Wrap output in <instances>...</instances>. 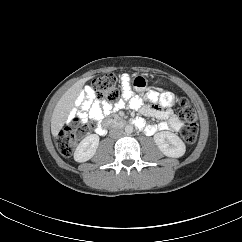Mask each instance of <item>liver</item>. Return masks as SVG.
Returning a JSON list of instances; mask_svg holds the SVG:
<instances>
[{
    "label": "liver",
    "mask_w": 242,
    "mask_h": 242,
    "mask_svg": "<svg viewBox=\"0 0 242 242\" xmlns=\"http://www.w3.org/2000/svg\"><path fill=\"white\" fill-rule=\"evenodd\" d=\"M88 79L84 78L76 82L57 103L51 119V132L54 137H57L63 128L70 111L74 107L76 97Z\"/></svg>",
    "instance_id": "obj_1"
}]
</instances>
